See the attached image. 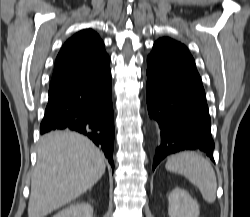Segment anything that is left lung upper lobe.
Wrapping results in <instances>:
<instances>
[{
	"label": "left lung upper lobe",
	"mask_w": 250,
	"mask_h": 217,
	"mask_svg": "<svg viewBox=\"0 0 250 217\" xmlns=\"http://www.w3.org/2000/svg\"><path fill=\"white\" fill-rule=\"evenodd\" d=\"M159 40H166V41H171V42L179 43V42H176V41H174L173 39H170V38H167V37L161 38V39H159ZM180 44H181V43H180Z\"/></svg>",
	"instance_id": "1"
}]
</instances>
